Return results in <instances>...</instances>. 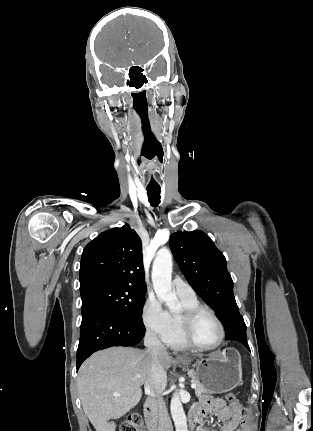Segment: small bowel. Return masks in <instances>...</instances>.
<instances>
[{
	"label": "small bowel",
	"instance_id": "1",
	"mask_svg": "<svg viewBox=\"0 0 313 431\" xmlns=\"http://www.w3.org/2000/svg\"><path fill=\"white\" fill-rule=\"evenodd\" d=\"M198 417V422L208 414H214L221 423L218 431H250L251 422L247 411L238 403L226 404L221 398L203 396L199 404L191 411ZM197 431H209L199 427Z\"/></svg>",
	"mask_w": 313,
	"mask_h": 431
}]
</instances>
